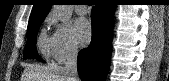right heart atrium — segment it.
I'll return each instance as SVG.
<instances>
[{"mask_svg":"<svg viewBox=\"0 0 169 81\" xmlns=\"http://www.w3.org/2000/svg\"><path fill=\"white\" fill-rule=\"evenodd\" d=\"M48 24L53 27L49 38V50L57 62H64L76 55L78 46L68 26L57 24L53 16H48Z\"/></svg>","mask_w":169,"mask_h":81,"instance_id":"obj_1","label":"right heart atrium"}]
</instances>
